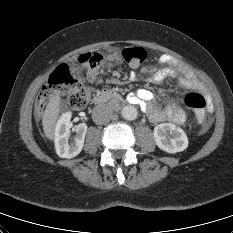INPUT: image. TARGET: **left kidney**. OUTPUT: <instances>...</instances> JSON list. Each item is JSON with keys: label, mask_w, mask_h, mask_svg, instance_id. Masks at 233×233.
<instances>
[{"label": "left kidney", "mask_w": 233, "mask_h": 233, "mask_svg": "<svg viewBox=\"0 0 233 233\" xmlns=\"http://www.w3.org/2000/svg\"><path fill=\"white\" fill-rule=\"evenodd\" d=\"M156 145L167 153L184 151L188 147V138L185 132L172 123H162L154 128Z\"/></svg>", "instance_id": "obj_1"}]
</instances>
